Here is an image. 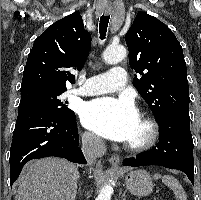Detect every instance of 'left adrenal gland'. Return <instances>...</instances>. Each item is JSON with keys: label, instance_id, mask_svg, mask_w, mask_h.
Returning a JSON list of instances; mask_svg holds the SVG:
<instances>
[{"label": "left adrenal gland", "instance_id": "a2214340", "mask_svg": "<svg viewBox=\"0 0 201 200\" xmlns=\"http://www.w3.org/2000/svg\"><path fill=\"white\" fill-rule=\"evenodd\" d=\"M126 192H127V191H125V192L123 193V195H122V200H126Z\"/></svg>", "mask_w": 201, "mask_h": 200}]
</instances>
